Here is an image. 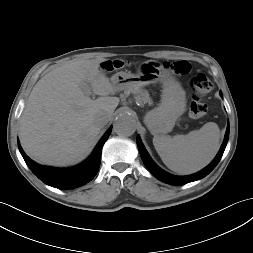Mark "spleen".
<instances>
[{
  "instance_id": "obj_1",
  "label": "spleen",
  "mask_w": 253,
  "mask_h": 253,
  "mask_svg": "<svg viewBox=\"0 0 253 253\" xmlns=\"http://www.w3.org/2000/svg\"><path fill=\"white\" fill-rule=\"evenodd\" d=\"M220 130L208 122L186 135L154 136V147L163 163L179 174H191L208 165L219 150Z\"/></svg>"
}]
</instances>
